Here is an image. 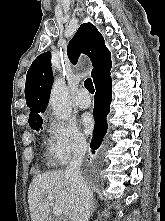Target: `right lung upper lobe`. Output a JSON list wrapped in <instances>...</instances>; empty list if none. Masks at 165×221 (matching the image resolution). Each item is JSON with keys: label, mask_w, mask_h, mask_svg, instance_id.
<instances>
[{"label": "right lung upper lobe", "mask_w": 165, "mask_h": 221, "mask_svg": "<svg viewBox=\"0 0 165 221\" xmlns=\"http://www.w3.org/2000/svg\"><path fill=\"white\" fill-rule=\"evenodd\" d=\"M68 57L76 64L80 52L86 54L92 61L91 76L95 85L110 75V52L106 48L103 36L91 23L82 24L67 47ZM51 53L39 55L27 72L25 84V98L30 108L29 121L41 118L49 102V95L53 83L51 70Z\"/></svg>", "instance_id": "obj_1"}]
</instances>
